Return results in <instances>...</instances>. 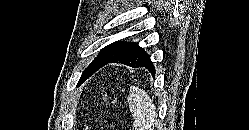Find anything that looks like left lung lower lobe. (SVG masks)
I'll list each match as a JSON object with an SVG mask.
<instances>
[{"instance_id": "1", "label": "left lung lower lobe", "mask_w": 249, "mask_h": 130, "mask_svg": "<svg viewBox=\"0 0 249 130\" xmlns=\"http://www.w3.org/2000/svg\"><path fill=\"white\" fill-rule=\"evenodd\" d=\"M108 63H121L133 68L145 67L153 75L155 74V68L150 56L146 54L138 43H129L117 56L106 61L101 67Z\"/></svg>"}]
</instances>
